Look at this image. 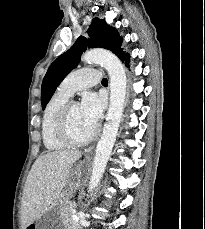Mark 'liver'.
Here are the masks:
<instances>
[{
  "label": "liver",
  "instance_id": "6515ba94",
  "mask_svg": "<svg viewBox=\"0 0 205 229\" xmlns=\"http://www.w3.org/2000/svg\"><path fill=\"white\" fill-rule=\"evenodd\" d=\"M82 156L78 150L42 154L33 164L23 192L21 222L23 229L40 219L64 195L73 164Z\"/></svg>",
  "mask_w": 205,
  "mask_h": 229
}]
</instances>
